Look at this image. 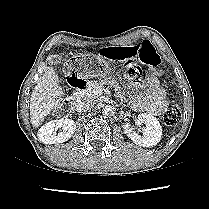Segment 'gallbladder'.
I'll return each mask as SVG.
<instances>
[{
	"label": "gallbladder",
	"instance_id": "obj_1",
	"mask_svg": "<svg viewBox=\"0 0 209 209\" xmlns=\"http://www.w3.org/2000/svg\"><path fill=\"white\" fill-rule=\"evenodd\" d=\"M50 60L52 63H62L63 59L62 56L58 55V54H53L50 57Z\"/></svg>",
	"mask_w": 209,
	"mask_h": 209
}]
</instances>
